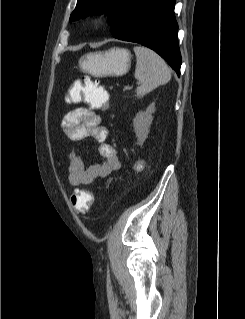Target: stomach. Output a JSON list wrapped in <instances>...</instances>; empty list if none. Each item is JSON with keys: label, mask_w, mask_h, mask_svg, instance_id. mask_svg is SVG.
Listing matches in <instances>:
<instances>
[{"label": "stomach", "mask_w": 245, "mask_h": 319, "mask_svg": "<svg viewBox=\"0 0 245 319\" xmlns=\"http://www.w3.org/2000/svg\"><path fill=\"white\" fill-rule=\"evenodd\" d=\"M131 54L127 49L111 48L104 52L88 53L80 58L83 72L95 77L122 76L130 68Z\"/></svg>", "instance_id": "1"}]
</instances>
